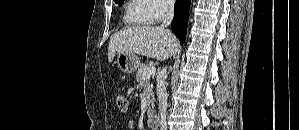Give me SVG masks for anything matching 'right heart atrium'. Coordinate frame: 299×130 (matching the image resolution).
I'll return each mask as SVG.
<instances>
[{"mask_svg":"<svg viewBox=\"0 0 299 130\" xmlns=\"http://www.w3.org/2000/svg\"><path fill=\"white\" fill-rule=\"evenodd\" d=\"M150 5V19L154 21L162 20L173 9L171 0H146Z\"/></svg>","mask_w":299,"mask_h":130,"instance_id":"obj_1","label":"right heart atrium"}]
</instances>
